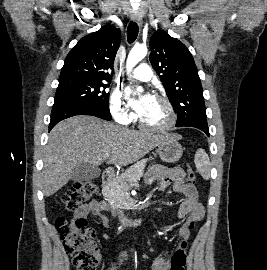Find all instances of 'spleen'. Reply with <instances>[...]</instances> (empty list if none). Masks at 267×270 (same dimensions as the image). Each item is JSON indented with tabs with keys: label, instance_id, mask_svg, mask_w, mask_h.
I'll return each mask as SVG.
<instances>
[{
	"label": "spleen",
	"instance_id": "3e777b00",
	"mask_svg": "<svg viewBox=\"0 0 267 270\" xmlns=\"http://www.w3.org/2000/svg\"><path fill=\"white\" fill-rule=\"evenodd\" d=\"M195 166L200 175L208 180L210 178L211 164L207 153L203 149H198L194 157Z\"/></svg>",
	"mask_w": 267,
	"mask_h": 270
}]
</instances>
